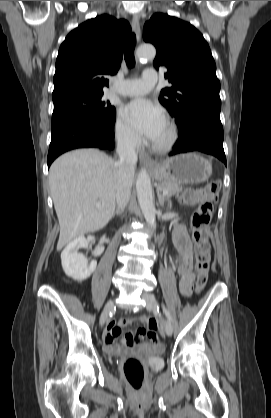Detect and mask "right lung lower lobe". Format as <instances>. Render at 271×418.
<instances>
[{"label":"right lung lower lobe","instance_id":"98d812e1","mask_svg":"<svg viewBox=\"0 0 271 418\" xmlns=\"http://www.w3.org/2000/svg\"><path fill=\"white\" fill-rule=\"evenodd\" d=\"M114 121L104 118H87L59 124L51 129L52 138L47 164L62 153L76 148H114Z\"/></svg>","mask_w":271,"mask_h":418}]
</instances>
